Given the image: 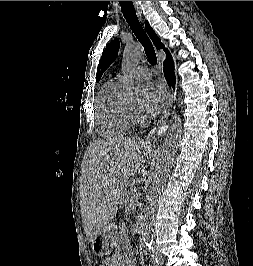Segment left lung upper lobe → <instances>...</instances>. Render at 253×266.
<instances>
[{
    "instance_id": "obj_1",
    "label": "left lung upper lobe",
    "mask_w": 253,
    "mask_h": 266,
    "mask_svg": "<svg viewBox=\"0 0 253 266\" xmlns=\"http://www.w3.org/2000/svg\"><path fill=\"white\" fill-rule=\"evenodd\" d=\"M120 47V43L118 39H114L111 41L101 56V59L98 64L97 68V75H96V82H99L101 76L103 75L104 71L112 64V62L116 59L118 54V50Z\"/></svg>"
}]
</instances>
